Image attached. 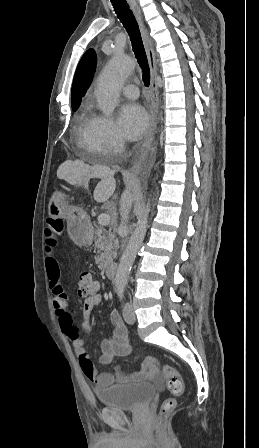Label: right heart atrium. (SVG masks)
Instances as JSON below:
<instances>
[{
    "label": "right heart atrium",
    "mask_w": 259,
    "mask_h": 448,
    "mask_svg": "<svg viewBox=\"0 0 259 448\" xmlns=\"http://www.w3.org/2000/svg\"><path fill=\"white\" fill-rule=\"evenodd\" d=\"M95 152L102 157H117L125 147L124 139L112 118L102 116L95 133Z\"/></svg>",
    "instance_id": "obj_1"
}]
</instances>
